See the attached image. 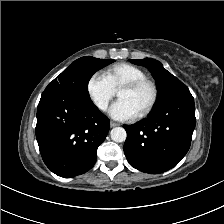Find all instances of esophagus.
I'll return each mask as SVG.
<instances>
[{"label": "esophagus", "mask_w": 224, "mask_h": 224, "mask_svg": "<svg viewBox=\"0 0 224 224\" xmlns=\"http://www.w3.org/2000/svg\"><path fill=\"white\" fill-rule=\"evenodd\" d=\"M119 125H120L119 123H116V122H113V121L110 122L111 127H116V126H119Z\"/></svg>", "instance_id": "34e87169"}]
</instances>
